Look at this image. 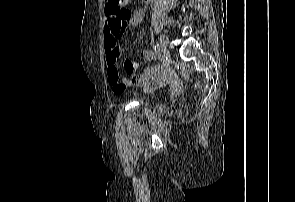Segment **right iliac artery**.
Wrapping results in <instances>:
<instances>
[{
  "label": "right iliac artery",
  "mask_w": 295,
  "mask_h": 202,
  "mask_svg": "<svg viewBox=\"0 0 295 202\" xmlns=\"http://www.w3.org/2000/svg\"><path fill=\"white\" fill-rule=\"evenodd\" d=\"M154 49L157 50V51H160V45H159V44H156V45L154 46Z\"/></svg>",
  "instance_id": "82829eb1"
}]
</instances>
